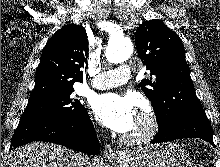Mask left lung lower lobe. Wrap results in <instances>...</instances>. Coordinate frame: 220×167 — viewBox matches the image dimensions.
I'll use <instances>...</instances> for the list:
<instances>
[{
    "label": "left lung lower lobe",
    "mask_w": 220,
    "mask_h": 167,
    "mask_svg": "<svg viewBox=\"0 0 220 167\" xmlns=\"http://www.w3.org/2000/svg\"><path fill=\"white\" fill-rule=\"evenodd\" d=\"M182 138H201L213 145L212 128L204 111L183 115L166 126L159 127L158 133L150 143Z\"/></svg>",
    "instance_id": "obj_1"
}]
</instances>
